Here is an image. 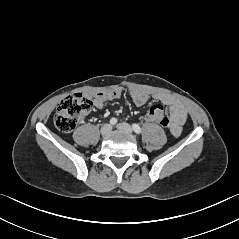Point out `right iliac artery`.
Wrapping results in <instances>:
<instances>
[{
  "mask_svg": "<svg viewBox=\"0 0 239 239\" xmlns=\"http://www.w3.org/2000/svg\"><path fill=\"white\" fill-rule=\"evenodd\" d=\"M117 123V119L116 118H111L110 119V124L111 125H115Z\"/></svg>",
  "mask_w": 239,
  "mask_h": 239,
  "instance_id": "82829eb1",
  "label": "right iliac artery"
}]
</instances>
